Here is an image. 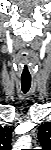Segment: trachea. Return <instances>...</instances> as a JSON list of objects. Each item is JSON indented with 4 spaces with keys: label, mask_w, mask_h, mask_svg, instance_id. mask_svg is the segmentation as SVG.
Returning a JSON list of instances; mask_svg holds the SVG:
<instances>
[{
    "label": "trachea",
    "mask_w": 51,
    "mask_h": 150,
    "mask_svg": "<svg viewBox=\"0 0 51 150\" xmlns=\"http://www.w3.org/2000/svg\"><path fill=\"white\" fill-rule=\"evenodd\" d=\"M30 86H31L30 78H28V79L22 78L21 79V87H22L23 93H27L30 89Z\"/></svg>",
    "instance_id": "trachea-1"
}]
</instances>
